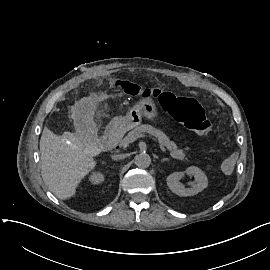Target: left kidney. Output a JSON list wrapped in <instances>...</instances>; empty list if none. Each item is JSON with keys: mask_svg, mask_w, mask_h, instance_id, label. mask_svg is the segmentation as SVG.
Instances as JSON below:
<instances>
[{"mask_svg": "<svg viewBox=\"0 0 270 270\" xmlns=\"http://www.w3.org/2000/svg\"><path fill=\"white\" fill-rule=\"evenodd\" d=\"M186 173L188 175H194L197 183L193 184L191 188H185V186L179 182L184 173L174 172L167 177V185L173 193L179 196H193L207 187L208 179L200 168L195 166L188 167Z\"/></svg>", "mask_w": 270, "mask_h": 270, "instance_id": "obj_1", "label": "left kidney"}]
</instances>
